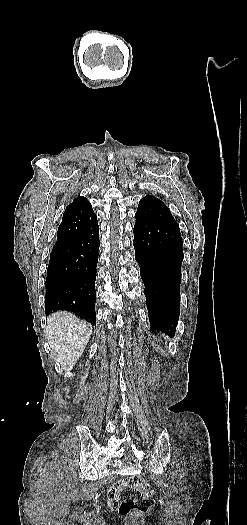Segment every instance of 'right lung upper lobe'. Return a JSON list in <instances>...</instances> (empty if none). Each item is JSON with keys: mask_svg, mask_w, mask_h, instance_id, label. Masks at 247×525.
<instances>
[{"mask_svg": "<svg viewBox=\"0 0 247 525\" xmlns=\"http://www.w3.org/2000/svg\"><path fill=\"white\" fill-rule=\"evenodd\" d=\"M92 205L83 196H78L69 204L63 214L54 246L63 244L87 232L97 224Z\"/></svg>", "mask_w": 247, "mask_h": 525, "instance_id": "cb5924a9", "label": "right lung upper lobe"}]
</instances>
